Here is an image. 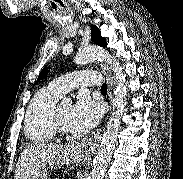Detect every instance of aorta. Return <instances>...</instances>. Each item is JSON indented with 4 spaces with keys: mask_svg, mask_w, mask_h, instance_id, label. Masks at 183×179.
I'll return each mask as SVG.
<instances>
[{
    "mask_svg": "<svg viewBox=\"0 0 183 179\" xmlns=\"http://www.w3.org/2000/svg\"><path fill=\"white\" fill-rule=\"evenodd\" d=\"M95 60H103L111 66L115 75L116 85L112 102L113 110L103 133L100 146L94 158L93 168L88 178L103 179L115 148L121 117L123 115L124 103L127 96V85L126 75L123 73L120 63L104 49L98 46H90L80 50L74 58L76 64H86ZM66 101L70 102V99H66Z\"/></svg>",
    "mask_w": 183,
    "mask_h": 179,
    "instance_id": "1",
    "label": "aorta"
}]
</instances>
